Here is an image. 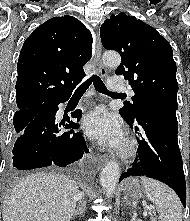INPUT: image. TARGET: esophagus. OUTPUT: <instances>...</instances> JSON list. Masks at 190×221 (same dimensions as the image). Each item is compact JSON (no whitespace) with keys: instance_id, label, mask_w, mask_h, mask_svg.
I'll return each instance as SVG.
<instances>
[{"instance_id":"1","label":"esophagus","mask_w":190,"mask_h":221,"mask_svg":"<svg viewBox=\"0 0 190 221\" xmlns=\"http://www.w3.org/2000/svg\"><path fill=\"white\" fill-rule=\"evenodd\" d=\"M94 50H95L94 62L97 66V70L100 73V75L105 78V77H107L108 72H107V69L105 68V66L103 65L102 60H101L102 45H101V40H100V37L98 34L95 38ZM99 160L104 163V162H108L110 160V158L107 155H101L99 157Z\"/></svg>"}]
</instances>
